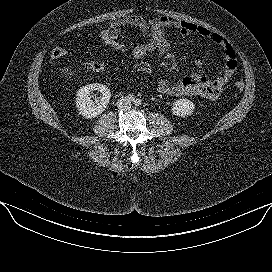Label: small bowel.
<instances>
[{
  "label": "small bowel",
  "mask_w": 272,
  "mask_h": 272,
  "mask_svg": "<svg viewBox=\"0 0 272 272\" xmlns=\"http://www.w3.org/2000/svg\"><path fill=\"white\" fill-rule=\"evenodd\" d=\"M125 27L136 28L146 39L138 44L137 51L132 55L137 60L168 54L170 43L166 32L176 29L182 36L199 35L218 46L224 56V66L216 76H209L203 71L204 61L197 57L196 72L177 81L161 80L157 91L169 97L195 96L206 99L218 98L224 86L234 75L237 68V56L233 46L220 34L206 27L167 16L144 19L138 15H125L112 21L106 30L122 34Z\"/></svg>",
  "instance_id": "obj_1"
}]
</instances>
